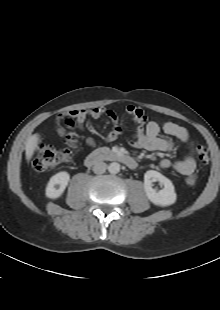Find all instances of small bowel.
Wrapping results in <instances>:
<instances>
[{
    "label": "small bowel",
    "instance_id": "c3829d8e",
    "mask_svg": "<svg viewBox=\"0 0 220 310\" xmlns=\"http://www.w3.org/2000/svg\"><path fill=\"white\" fill-rule=\"evenodd\" d=\"M127 113L137 123L135 133L128 139L131 146L148 151H170L174 149L175 143L172 140L161 137L160 133L163 131L165 134L173 137L178 142L188 147L190 143V135L184 127L173 122L159 123L157 121H148L145 111L134 105L127 107ZM67 115L75 120L79 129H84L89 117L96 119L101 116H107L111 121V128L106 135L107 141L116 140L123 133L122 127L120 126L115 113L106 108L92 107L76 109L68 112ZM64 116L65 115L60 114L57 117L55 127L56 132L60 136H63L65 133L64 128L60 124ZM87 144L95 146L96 142L93 138H88ZM159 165L162 169L172 168L183 175L187 185H193L196 181V161L192 151H189L184 159L177 162H172L167 158L161 159Z\"/></svg>",
    "mask_w": 220,
    "mask_h": 310
}]
</instances>
